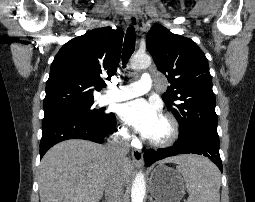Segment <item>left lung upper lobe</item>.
Instances as JSON below:
<instances>
[{"label":"left lung upper lobe","instance_id":"1","mask_svg":"<svg viewBox=\"0 0 255 202\" xmlns=\"http://www.w3.org/2000/svg\"><path fill=\"white\" fill-rule=\"evenodd\" d=\"M147 50L170 86L162 98L179 125V138L217 134L218 118L208 61L189 38L154 25L146 37Z\"/></svg>","mask_w":255,"mask_h":202}]
</instances>
